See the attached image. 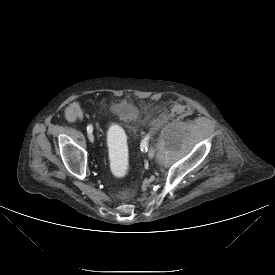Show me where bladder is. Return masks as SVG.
Here are the masks:
<instances>
[{"label": "bladder", "mask_w": 275, "mask_h": 275, "mask_svg": "<svg viewBox=\"0 0 275 275\" xmlns=\"http://www.w3.org/2000/svg\"><path fill=\"white\" fill-rule=\"evenodd\" d=\"M111 115L119 120L121 125H131L138 121L139 110L135 103L129 100H119L110 106Z\"/></svg>", "instance_id": "1"}]
</instances>
